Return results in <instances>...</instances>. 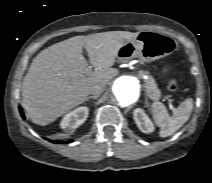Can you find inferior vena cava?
<instances>
[{"instance_id": "obj_1", "label": "inferior vena cava", "mask_w": 212, "mask_h": 183, "mask_svg": "<svg viewBox=\"0 0 212 183\" xmlns=\"http://www.w3.org/2000/svg\"><path fill=\"white\" fill-rule=\"evenodd\" d=\"M104 89H105L104 83L95 84L91 87L90 94H93L94 96H97V95L99 96Z\"/></svg>"}]
</instances>
